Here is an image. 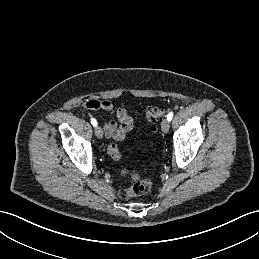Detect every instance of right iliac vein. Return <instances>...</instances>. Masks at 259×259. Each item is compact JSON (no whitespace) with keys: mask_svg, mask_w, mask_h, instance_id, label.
Wrapping results in <instances>:
<instances>
[{"mask_svg":"<svg viewBox=\"0 0 259 259\" xmlns=\"http://www.w3.org/2000/svg\"><path fill=\"white\" fill-rule=\"evenodd\" d=\"M94 131H95V135L97 136V138L102 139V137H103L102 128L100 126H96Z\"/></svg>","mask_w":259,"mask_h":259,"instance_id":"right-iliac-vein-1","label":"right iliac vein"}]
</instances>
